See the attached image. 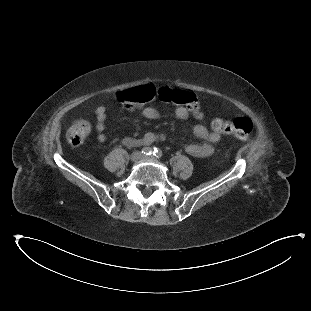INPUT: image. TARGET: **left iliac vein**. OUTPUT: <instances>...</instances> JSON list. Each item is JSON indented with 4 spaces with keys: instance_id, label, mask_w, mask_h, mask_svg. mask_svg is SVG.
Returning <instances> with one entry per match:
<instances>
[{
    "instance_id": "1",
    "label": "left iliac vein",
    "mask_w": 311,
    "mask_h": 311,
    "mask_svg": "<svg viewBox=\"0 0 311 311\" xmlns=\"http://www.w3.org/2000/svg\"><path fill=\"white\" fill-rule=\"evenodd\" d=\"M144 160H154L153 156H144L143 157Z\"/></svg>"
}]
</instances>
